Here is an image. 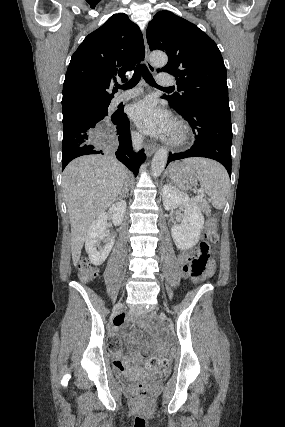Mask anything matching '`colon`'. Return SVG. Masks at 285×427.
I'll list each match as a JSON object with an SVG mask.
<instances>
[{
  "instance_id": "colon-1",
  "label": "colon",
  "mask_w": 285,
  "mask_h": 427,
  "mask_svg": "<svg viewBox=\"0 0 285 427\" xmlns=\"http://www.w3.org/2000/svg\"><path fill=\"white\" fill-rule=\"evenodd\" d=\"M219 233L215 218H210L207 222L204 240L199 244L198 251L186 258L183 265L185 275L191 277L194 281H200L210 276L214 270V260L210 256V245L218 242ZM79 276L82 281H89L96 276L95 267L88 259L82 258L77 262ZM144 367L149 371L157 370L160 366L168 364L167 359L146 358L144 359ZM141 401H148L150 391L146 387H141L138 390Z\"/></svg>"
}]
</instances>
